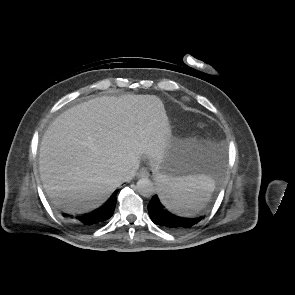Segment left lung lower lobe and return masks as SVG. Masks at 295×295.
<instances>
[{
  "label": "left lung lower lobe",
  "instance_id": "0a47b994",
  "mask_svg": "<svg viewBox=\"0 0 295 295\" xmlns=\"http://www.w3.org/2000/svg\"><path fill=\"white\" fill-rule=\"evenodd\" d=\"M208 158L209 162L213 165L215 162V156L213 152L209 153ZM148 211L151 220L155 224L170 231H183L189 229L201 220V217L184 218L171 213L164 207L160 198L157 195H154L151 201L149 202Z\"/></svg>",
  "mask_w": 295,
  "mask_h": 295
}]
</instances>
